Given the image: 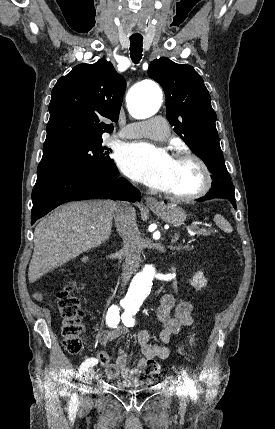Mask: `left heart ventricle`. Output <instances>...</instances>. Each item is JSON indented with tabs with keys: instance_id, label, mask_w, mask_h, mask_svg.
<instances>
[{
	"instance_id": "obj_1",
	"label": "left heart ventricle",
	"mask_w": 275,
	"mask_h": 429,
	"mask_svg": "<svg viewBox=\"0 0 275 429\" xmlns=\"http://www.w3.org/2000/svg\"><path fill=\"white\" fill-rule=\"evenodd\" d=\"M202 182L198 166L188 160H174L166 192L185 195L196 191Z\"/></svg>"
}]
</instances>
